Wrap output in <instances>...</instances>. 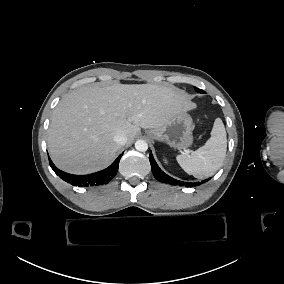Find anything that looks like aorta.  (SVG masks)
<instances>
[{"mask_svg":"<svg viewBox=\"0 0 284 284\" xmlns=\"http://www.w3.org/2000/svg\"><path fill=\"white\" fill-rule=\"evenodd\" d=\"M135 149L140 152H145L148 149V144L144 140H137L135 143Z\"/></svg>","mask_w":284,"mask_h":284,"instance_id":"aorta-1","label":"aorta"}]
</instances>
